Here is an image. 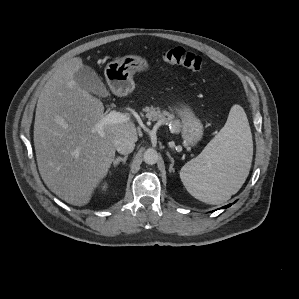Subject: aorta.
<instances>
[{"mask_svg":"<svg viewBox=\"0 0 299 299\" xmlns=\"http://www.w3.org/2000/svg\"><path fill=\"white\" fill-rule=\"evenodd\" d=\"M159 155L155 149L149 148L144 152V162L149 165L156 164L158 161Z\"/></svg>","mask_w":299,"mask_h":299,"instance_id":"1","label":"aorta"}]
</instances>
